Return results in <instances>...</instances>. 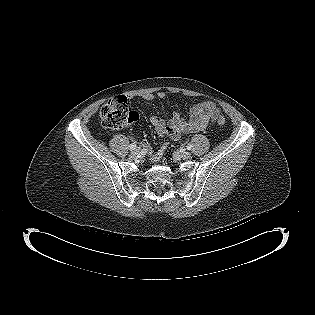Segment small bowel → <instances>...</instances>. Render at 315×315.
Listing matches in <instances>:
<instances>
[{"mask_svg":"<svg viewBox=\"0 0 315 315\" xmlns=\"http://www.w3.org/2000/svg\"><path fill=\"white\" fill-rule=\"evenodd\" d=\"M145 101H153L156 98L164 99L165 92L146 93L143 96ZM218 110L211 101L197 103L190 108V115L187 120L183 119L179 113H174L169 121L157 115L150 117V122L154 126L157 134L161 137H169L171 139H179L183 134L194 133L204 130L215 119ZM145 145H147L145 143ZM164 147L156 151L152 156V161L157 162L161 158Z\"/></svg>","mask_w":315,"mask_h":315,"instance_id":"obj_1","label":"small bowel"}]
</instances>
